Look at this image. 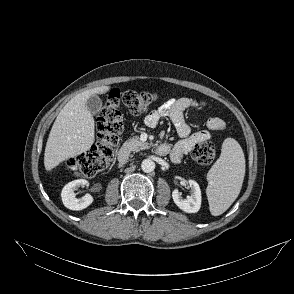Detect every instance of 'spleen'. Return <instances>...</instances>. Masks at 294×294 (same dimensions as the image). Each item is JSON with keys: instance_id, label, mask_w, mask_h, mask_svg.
<instances>
[{"instance_id": "obj_1", "label": "spleen", "mask_w": 294, "mask_h": 294, "mask_svg": "<svg viewBox=\"0 0 294 294\" xmlns=\"http://www.w3.org/2000/svg\"><path fill=\"white\" fill-rule=\"evenodd\" d=\"M245 175V157L233 138L224 140L221 155L207 174L206 194L213 216L224 213L238 197Z\"/></svg>"}]
</instances>
